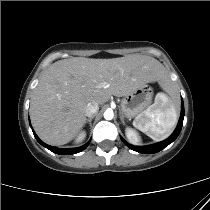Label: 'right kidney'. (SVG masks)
I'll return each mask as SVG.
<instances>
[{
	"mask_svg": "<svg viewBox=\"0 0 210 210\" xmlns=\"http://www.w3.org/2000/svg\"><path fill=\"white\" fill-rule=\"evenodd\" d=\"M86 137V133L85 132H81L78 137L76 138V142H82Z\"/></svg>",
	"mask_w": 210,
	"mask_h": 210,
	"instance_id": "ca27d5eb",
	"label": "right kidney"
}]
</instances>
